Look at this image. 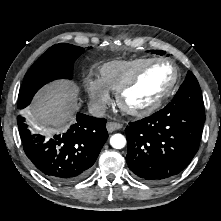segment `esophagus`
<instances>
[{
    "label": "esophagus",
    "mask_w": 221,
    "mask_h": 221,
    "mask_svg": "<svg viewBox=\"0 0 221 221\" xmlns=\"http://www.w3.org/2000/svg\"><path fill=\"white\" fill-rule=\"evenodd\" d=\"M122 127H123L122 124L117 123V122H109V123H107V125H106L107 131H108L109 133H111V132H113V131H116V130H119V129H121Z\"/></svg>",
    "instance_id": "esophagus-1"
}]
</instances>
